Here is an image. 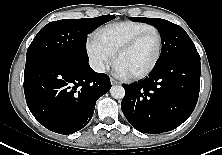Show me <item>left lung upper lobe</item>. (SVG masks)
I'll list each match as a JSON object with an SVG mask.
<instances>
[{
  "label": "left lung upper lobe",
  "instance_id": "obj_1",
  "mask_svg": "<svg viewBox=\"0 0 222 155\" xmlns=\"http://www.w3.org/2000/svg\"><path fill=\"white\" fill-rule=\"evenodd\" d=\"M130 19L149 23L159 30L162 50L155 65L181 57L200 59L194 43L182 27L160 18L130 17Z\"/></svg>",
  "mask_w": 222,
  "mask_h": 155
}]
</instances>
